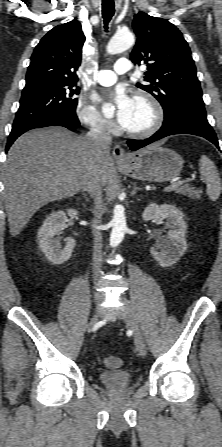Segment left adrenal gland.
<instances>
[{
  "mask_svg": "<svg viewBox=\"0 0 222 447\" xmlns=\"http://www.w3.org/2000/svg\"><path fill=\"white\" fill-rule=\"evenodd\" d=\"M140 190H141V188L137 187L136 184L134 183L133 184V190L131 192V196H134L137 193V191H140Z\"/></svg>",
  "mask_w": 222,
  "mask_h": 447,
  "instance_id": "1",
  "label": "left adrenal gland"
}]
</instances>
